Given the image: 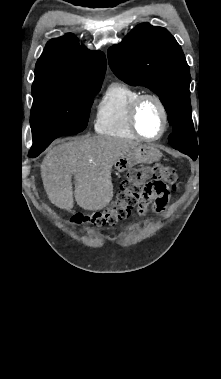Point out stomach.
I'll return each instance as SVG.
<instances>
[{"instance_id":"obj_1","label":"stomach","mask_w":221,"mask_h":379,"mask_svg":"<svg viewBox=\"0 0 221 379\" xmlns=\"http://www.w3.org/2000/svg\"><path fill=\"white\" fill-rule=\"evenodd\" d=\"M161 153L150 145H137L123 153L114 163L117 172L122 173L129 170L138 163L151 164L159 161Z\"/></svg>"}]
</instances>
